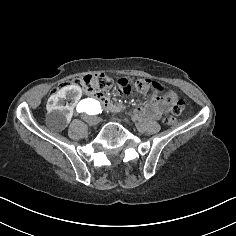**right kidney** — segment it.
I'll list each match as a JSON object with an SVG mask.
<instances>
[{"mask_svg": "<svg viewBox=\"0 0 236 236\" xmlns=\"http://www.w3.org/2000/svg\"><path fill=\"white\" fill-rule=\"evenodd\" d=\"M73 93L75 96H67ZM82 96V90L77 85L61 88L56 94L49 98L48 117L45 119V126L50 131L65 129L72 120V108L77 105V100ZM56 98L55 100H51Z\"/></svg>", "mask_w": 236, "mask_h": 236, "instance_id": "right-kidney-1", "label": "right kidney"}]
</instances>
